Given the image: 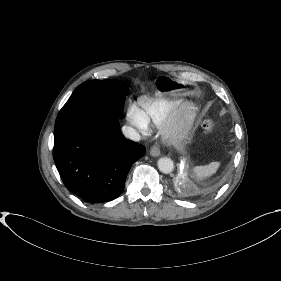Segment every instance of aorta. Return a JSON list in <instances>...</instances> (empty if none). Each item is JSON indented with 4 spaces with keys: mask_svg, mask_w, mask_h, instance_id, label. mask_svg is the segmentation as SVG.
I'll use <instances>...</instances> for the list:
<instances>
[{
    "mask_svg": "<svg viewBox=\"0 0 281 281\" xmlns=\"http://www.w3.org/2000/svg\"><path fill=\"white\" fill-rule=\"evenodd\" d=\"M158 168L164 174H169L174 170V163L170 158L162 157L158 160Z\"/></svg>",
    "mask_w": 281,
    "mask_h": 281,
    "instance_id": "aorta-1",
    "label": "aorta"
}]
</instances>
